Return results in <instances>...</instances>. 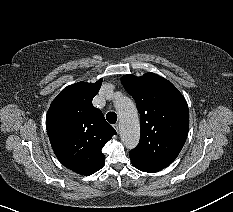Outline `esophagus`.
I'll return each instance as SVG.
<instances>
[{"instance_id": "obj_1", "label": "esophagus", "mask_w": 233, "mask_h": 212, "mask_svg": "<svg viewBox=\"0 0 233 212\" xmlns=\"http://www.w3.org/2000/svg\"><path fill=\"white\" fill-rule=\"evenodd\" d=\"M114 129L116 130L117 133L120 131L119 124H114Z\"/></svg>"}]
</instances>
